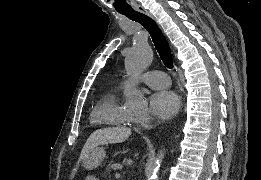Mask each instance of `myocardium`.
<instances>
[{"instance_id": "myocardium-1", "label": "myocardium", "mask_w": 261, "mask_h": 180, "mask_svg": "<svg viewBox=\"0 0 261 180\" xmlns=\"http://www.w3.org/2000/svg\"><path fill=\"white\" fill-rule=\"evenodd\" d=\"M119 122L124 127H131L134 124H136V120H131V119L126 118L124 112L120 113Z\"/></svg>"}]
</instances>
